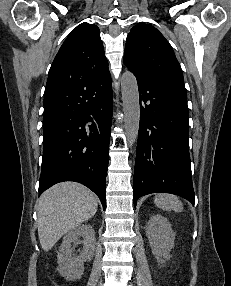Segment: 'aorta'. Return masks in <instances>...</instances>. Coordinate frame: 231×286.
Returning <instances> with one entry per match:
<instances>
[{"label":"aorta","instance_id":"obj_1","mask_svg":"<svg viewBox=\"0 0 231 286\" xmlns=\"http://www.w3.org/2000/svg\"><path fill=\"white\" fill-rule=\"evenodd\" d=\"M124 128L129 147L137 141L140 123L139 91L136 77L130 71L121 76Z\"/></svg>","mask_w":231,"mask_h":286}]
</instances>
